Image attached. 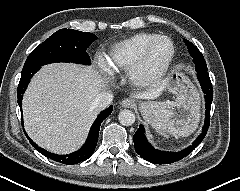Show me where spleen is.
Here are the masks:
<instances>
[{
  "label": "spleen",
  "mask_w": 240,
  "mask_h": 191,
  "mask_svg": "<svg viewBox=\"0 0 240 191\" xmlns=\"http://www.w3.org/2000/svg\"><path fill=\"white\" fill-rule=\"evenodd\" d=\"M153 128L161 135L168 137V134H171L175 137L178 136H188L194 132L196 127L194 125H185L179 128L174 120L171 118V115L168 114L166 109L160 110L150 121Z\"/></svg>",
  "instance_id": "1"
}]
</instances>
